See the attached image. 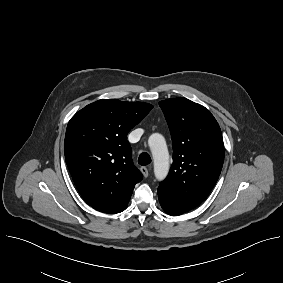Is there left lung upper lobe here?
Here are the masks:
<instances>
[{"instance_id":"1","label":"left lung upper lobe","mask_w":283,"mask_h":283,"mask_svg":"<svg viewBox=\"0 0 283 283\" xmlns=\"http://www.w3.org/2000/svg\"><path fill=\"white\" fill-rule=\"evenodd\" d=\"M159 105L172 137L173 164L158 191L187 212L206 199L219 178L224 161L221 129L208 109L186 98Z\"/></svg>"}]
</instances>
